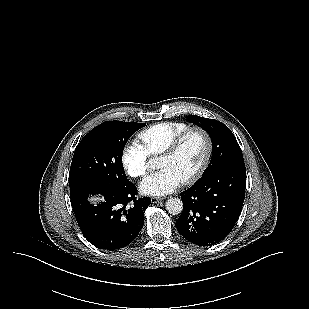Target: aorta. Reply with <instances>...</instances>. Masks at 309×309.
I'll list each match as a JSON object with an SVG mask.
<instances>
[{
    "instance_id": "obj_1",
    "label": "aorta",
    "mask_w": 309,
    "mask_h": 309,
    "mask_svg": "<svg viewBox=\"0 0 309 309\" xmlns=\"http://www.w3.org/2000/svg\"><path fill=\"white\" fill-rule=\"evenodd\" d=\"M165 206L166 210L172 215H178L183 210V202L176 197L169 198Z\"/></svg>"
}]
</instances>
